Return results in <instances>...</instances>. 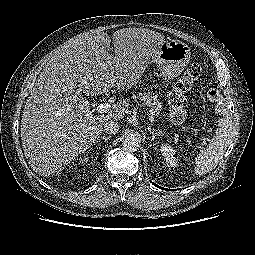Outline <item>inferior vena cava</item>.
Wrapping results in <instances>:
<instances>
[{
    "instance_id": "inferior-vena-cava-1",
    "label": "inferior vena cava",
    "mask_w": 255,
    "mask_h": 255,
    "mask_svg": "<svg viewBox=\"0 0 255 255\" xmlns=\"http://www.w3.org/2000/svg\"><path fill=\"white\" fill-rule=\"evenodd\" d=\"M104 131L108 134H115L118 132L119 130V123L118 122H115V121H107L105 124H104Z\"/></svg>"
}]
</instances>
